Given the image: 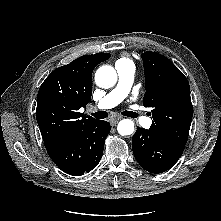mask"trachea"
Masks as SVG:
<instances>
[{"mask_svg": "<svg viewBox=\"0 0 221 221\" xmlns=\"http://www.w3.org/2000/svg\"><path fill=\"white\" fill-rule=\"evenodd\" d=\"M91 115L97 119H104V118L108 117V113L106 111H98L96 113H92ZM122 115L131 117V118L137 117V114L135 112H131V111H124V112H122Z\"/></svg>", "mask_w": 221, "mask_h": 221, "instance_id": "3493384b", "label": "trachea"}]
</instances>
